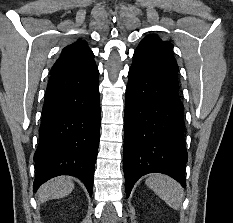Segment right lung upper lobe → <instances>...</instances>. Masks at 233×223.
Listing matches in <instances>:
<instances>
[{"instance_id": "obj_1", "label": "right lung upper lobe", "mask_w": 233, "mask_h": 223, "mask_svg": "<svg viewBox=\"0 0 233 223\" xmlns=\"http://www.w3.org/2000/svg\"><path fill=\"white\" fill-rule=\"evenodd\" d=\"M93 52L84 40L66 46L62 50L61 57L53 65L50 74L82 68L94 63Z\"/></svg>"}]
</instances>
